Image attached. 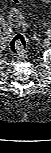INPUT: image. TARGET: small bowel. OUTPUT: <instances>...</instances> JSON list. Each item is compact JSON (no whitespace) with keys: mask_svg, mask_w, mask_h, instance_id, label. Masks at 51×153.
<instances>
[{"mask_svg":"<svg viewBox=\"0 0 51 153\" xmlns=\"http://www.w3.org/2000/svg\"><path fill=\"white\" fill-rule=\"evenodd\" d=\"M43 2H48V1H50V0H42Z\"/></svg>","mask_w":51,"mask_h":153,"instance_id":"obj_1","label":"small bowel"}]
</instances>
